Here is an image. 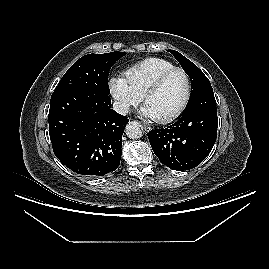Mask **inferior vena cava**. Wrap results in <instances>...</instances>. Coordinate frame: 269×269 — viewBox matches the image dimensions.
Listing matches in <instances>:
<instances>
[{"mask_svg": "<svg viewBox=\"0 0 269 269\" xmlns=\"http://www.w3.org/2000/svg\"><path fill=\"white\" fill-rule=\"evenodd\" d=\"M113 110L121 115L129 113V105L125 102L115 101L113 103Z\"/></svg>", "mask_w": 269, "mask_h": 269, "instance_id": "inferior-vena-cava-1", "label": "inferior vena cava"}]
</instances>
